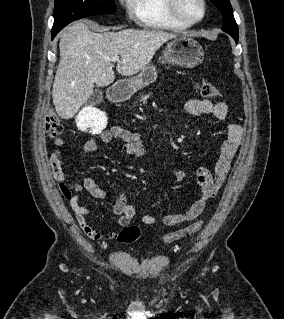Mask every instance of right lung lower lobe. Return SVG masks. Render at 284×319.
Listing matches in <instances>:
<instances>
[{
    "instance_id": "1",
    "label": "right lung lower lobe",
    "mask_w": 284,
    "mask_h": 319,
    "mask_svg": "<svg viewBox=\"0 0 284 319\" xmlns=\"http://www.w3.org/2000/svg\"><path fill=\"white\" fill-rule=\"evenodd\" d=\"M58 32H52V39L55 37V35L57 34Z\"/></svg>"
}]
</instances>
